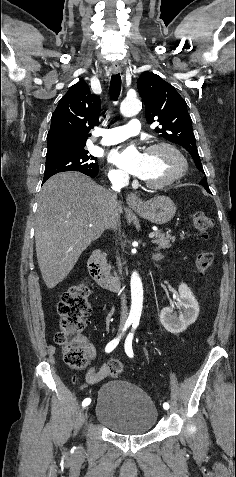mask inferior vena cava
<instances>
[{"label":"inferior vena cava","mask_w":236,"mask_h":477,"mask_svg":"<svg viewBox=\"0 0 236 477\" xmlns=\"http://www.w3.org/2000/svg\"><path fill=\"white\" fill-rule=\"evenodd\" d=\"M112 184H113L112 189L114 193H112V196H111L110 206H109L107 218H106V225L108 228H111L112 230L117 231L118 223H119L117 211H116L117 192H120V189L127 184V179L124 176H119L112 180ZM117 260L119 261L118 258ZM118 269H119V274H122L120 261L118 262ZM127 314L128 313H127L126 298H125V295H123L121 297V317H120V322L122 324L126 321Z\"/></svg>","instance_id":"602c4592"}]
</instances>
